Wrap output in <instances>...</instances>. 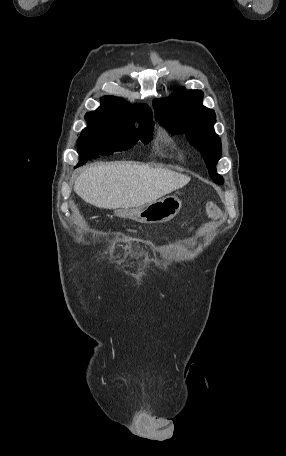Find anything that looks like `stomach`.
Returning <instances> with one entry per match:
<instances>
[{
  "label": "stomach",
  "instance_id": "stomach-1",
  "mask_svg": "<svg viewBox=\"0 0 286 456\" xmlns=\"http://www.w3.org/2000/svg\"><path fill=\"white\" fill-rule=\"evenodd\" d=\"M182 207V201L176 196H168L161 200L138 208L139 220L144 223H162L175 217Z\"/></svg>",
  "mask_w": 286,
  "mask_h": 456
}]
</instances>
